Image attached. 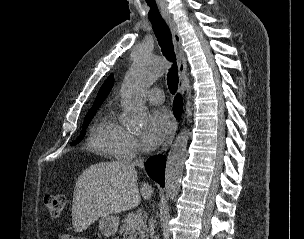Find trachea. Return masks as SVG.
<instances>
[{
	"label": "trachea",
	"mask_w": 304,
	"mask_h": 239,
	"mask_svg": "<svg viewBox=\"0 0 304 239\" xmlns=\"http://www.w3.org/2000/svg\"><path fill=\"white\" fill-rule=\"evenodd\" d=\"M145 6L148 10L147 17L153 26L161 51L167 60L173 62V65L167 74V84L170 93L175 94L178 88L179 78L171 32L163 20L162 12H159V3L156 2V0H145Z\"/></svg>",
	"instance_id": "1"
}]
</instances>
